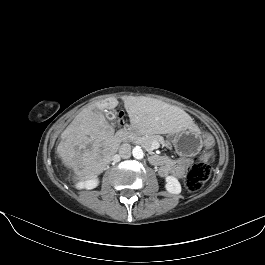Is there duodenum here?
Instances as JSON below:
<instances>
[{
  "label": "duodenum",
  "mask_w": 265,
  "mask_h": 265,
  "mask_svg": "<svg viewBox=\"0 0 265 265\" xmlns=\"http://www.w3.org/2000/svg\"><path fill=\"white\" fill-rule=\"evenodd\" d=\"M125 135H126V131L124 129H122L117 133V138L123 139L125 137ZM150 161L152 164H154L156 166H159L162 162L161 158L158 155L150 156Z\"/></svg>",
  "instance_id": "410a0bca"
}]
</instances>
